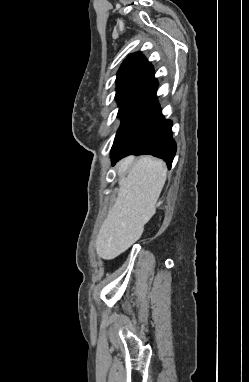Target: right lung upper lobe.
Here are the masks:
<instances>
[{"label": "right lung upper lobe", "mask_w": 249, "mask_h": 382, "mask_svg": "<svg viewBox=\"0 0 249 382\" xmlns=\"http://www.w3.org/2000/svg\"><path fill=\"white\" fill-rule=\"evenodd\" d=\"M116 99L118 104L157 102V81L150 62L140 53L127 57L117 74Z\"/></svg>", "instance_id": "1"}]
</instances>
